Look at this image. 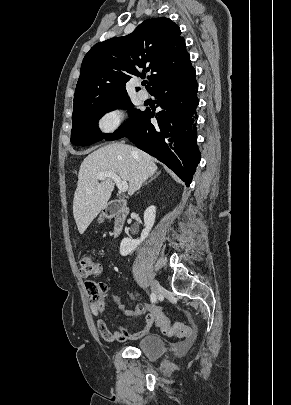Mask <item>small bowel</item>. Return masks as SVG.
Masks as SVG:
<instances>
[{
  "label": "small bowel",
  "instance_id": "small-bowel-1",
  "mask_svg": "<svg viewBox=\"0 0 291 405\" xmlns=\"http://www.w3.org/2000/svg\"><path fill=\"white\" fill-rule=\"evenodd\" d=\"M112 299L114 302L118 305V307L125 312L126 315L128 316H143L146 314L148 307L146 305H138L134 310H127L125 309L124 305L121 303L120 298L116 295H112ZM92 310L94 314L97 313L96 307L93 305ZM117 324L119 325V330L117 331H111L106 323L102 319L97 320V329L98 332L100 333L101 337L107 341V342H123L127 340H136L139 339L145 335H147L153 325V322L151 321L149 315L146 318V324L139 329L138 331L134 333H129L127 332L120 321H116Z\"/></svg>",
  "mask_w": 291,
  "mask_h": 405
}]
</instances>
